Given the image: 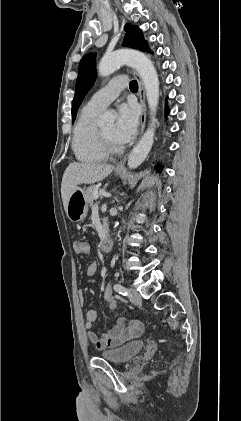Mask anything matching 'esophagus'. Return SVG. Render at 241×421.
<instances>
[{
  "label": "esophagus",
  "mask_w": 241,
  "mask_h": 421,
  "mask_svg": "<svg viewBox=\"0 0 241 421\" xmlns=\"http://www.w3.org/2000/svg\"><path fill=\"white\" fill-rule=\"evenodd\" d=\"M132 73H133L134 77L136 78V80L138 82V86H139L138 94H139L140 104H141V108H142V113H141V117H140V122H141L140 135H141L144 131L145 122H146L145 92H144L143 82H142L139 74L137 73V71L132 69ZM125 161H126V158H124L123 160L118 162L117 165H116V168L117 169L124 168Z\"/></svg>",
  "instance_id": "esophagus-1"
}]
</instances>
